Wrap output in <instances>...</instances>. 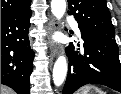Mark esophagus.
I'll return each mask as SVG.
<instances>
[{
    "instance_id": "1",
    "label": "esophagus",
    "mask_w": 121,
    "mask_h": 94,
    "mask_svg": "<svg viewBox=\"0 0 121 94\" xmlns=\"http://www.w3.org/2000/svg\"><path fill=\"white\" fill-rule=\"evenodd\" d=\"M58 27V23L54 20V18H51L48 26H47V32H48V37H51V34L56 30ZM59 54V46L51 43L50 46V55L51 57H56Z\"/></svg>"
}]
</instances>
